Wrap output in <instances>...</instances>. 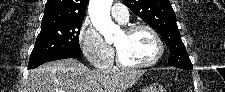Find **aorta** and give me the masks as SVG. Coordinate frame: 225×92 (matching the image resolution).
<instances>
[{
    "instance_id": "aorta-1",
    "label": "aorta",
    "mask_w": 225,
    "mask_h": 92,
    "mask_svg": "<svg viewBox=\"0 0 225 92\" xmlns=\"http://www.w3.org/2000/svg\"><path fill=\"white\" fill-rule=\"evenodd\" d=\"M112 2L113 0H90L88 6L93 26L104 36L106 41H110L113 34L120 30L110 16Z\"/></svg>"
}]
</instances>
